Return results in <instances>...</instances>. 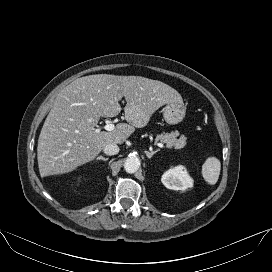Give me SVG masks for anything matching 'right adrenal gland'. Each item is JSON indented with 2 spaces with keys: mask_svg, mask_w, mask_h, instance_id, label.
Instances as JSON below:
<instances>
[{
  "mask_svg": "<svg viewBox=\"0 0 272 272\" xmlns=\"http://www.w3.org/2000/svg\"><path fill=\"white\" fill-rule=\"evenodd\" d=\"M97 160L108 161L109 158H105V157H103V156H98V157H97Z\"/></svg>",
  "mask_w": 272,
  "mask_h": 272,
  "instance_id": "obj_1",
  "label": "right adrenal gland"
}]
</instances>
